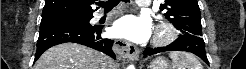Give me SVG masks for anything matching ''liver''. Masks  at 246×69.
Masks as SVG:
<instances>
[{
	"mask_svg": "<svg viewBox=\"0 0 246 69\" xmlns=\"http://www.w3.org/2000/svg\"><path fill=\"white\" fill-rule=\"evenodd\" d=\"M34 69H116V65L98 51L75 43H64L44 52Z\"/></svg>",
	"mask_w": 246,
	"mask_h": 69,
	"instance_id": "liver-1",
	"label": "liver"
}]
</instances>
